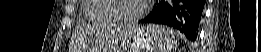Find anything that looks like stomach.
Masks as SVG:
<instances>
[{"label": "stomach", "instance_id": "stomach-1", "mask_svg": "<svg viewBox=\"0 0 261 52\" xmlns=\"http://www.w3.org/2000/svg\"><path fill=\"white\" fill-rule=\"evenodd\" d=\"M120 28L127 33L120 38L118 43V52H153L156 48L158 41L154 36L153 30L151 28L140 29V28H130L127 26H116L111 27V29Z\"/></svg>", "mask_w": 261, "mask_h": 52}]
</instances>
